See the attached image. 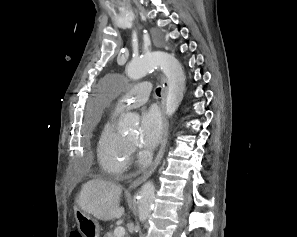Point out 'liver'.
I'll use <instances>...</instances> for the list:
<instances>
[{"mask_svg": "<svg viewBox=\"0 0 297 237\" xmlns=\"http://www.w3.org/2000/svg\"><path fill=\"white\" fill-rule=\"evenodd\" d=\"M120 186L100 179L90 180L83 185L78 205L82 211L93 215L98 220L110 221L124 215L120 207Z\"/></svg>", "mask_w": 297, "mask_h": 237, "instance_id": "obj_1", "label": "liver"}]
</instances>
